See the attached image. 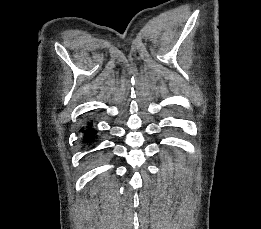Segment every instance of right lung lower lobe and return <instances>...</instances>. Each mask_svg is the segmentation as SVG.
<instances>
[{"instance_id":"1","label":"right lung lower lobe","mask_w":261,"mask_h":229,"mask_svg":"<svg viewBox=\"0 0 261 229\" xmlns=\"http://www.w3.org/2000/svg\"><path fill=\"white\" fill-rule=\"evenodd\" d=\"M92 125H93V123H89L85 129L81 128L80 131L83 132V139H82L83 143L94 142L95 134L97 133V131L92 128Z\"/></svg>"}]
</instances>
